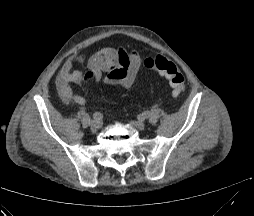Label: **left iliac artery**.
<instances>
[{
	"label": "left iliac artery",
	"instance_id": "1",
	"mask_svg": "<svg viewBox=\"0 0 254 216\" xmlns=\"http://www.w3.org/2000/svg\"><path fill=\"white\" fill-rule=\"evenodd\" d=\"M140 118H141V119H149V118H151V112H149V111L143 112V113L140 115Z\"/></svg>",
	"mask_w": 254,
	"mask_h": 216
}]
</instances>
